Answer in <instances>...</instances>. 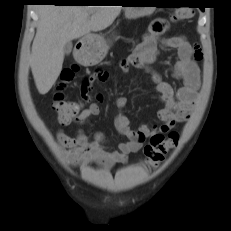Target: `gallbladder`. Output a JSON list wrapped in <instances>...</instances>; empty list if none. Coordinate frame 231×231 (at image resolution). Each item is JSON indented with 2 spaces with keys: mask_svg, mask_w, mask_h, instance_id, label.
Returning <instances> with one entry per match:
<instances>
[{
  "mask_svg": "<svg viewBox=\"0 0 231 231\" xmlns=\"http://www.w3.org/2000/svg\"><path fill=\"white\" fill-rule=\"evenodd\" d=\"M71 51H72V42L69 41L64 46V54L69 55L71 53Z\"/></svg>",
  "mask_w": 231,
  "mask_h": 231,
  "instance_id": "gallbladder-1",
  "label": "gallbladder"
}]
</instances>
